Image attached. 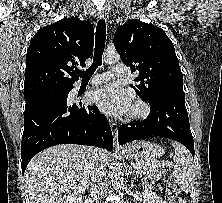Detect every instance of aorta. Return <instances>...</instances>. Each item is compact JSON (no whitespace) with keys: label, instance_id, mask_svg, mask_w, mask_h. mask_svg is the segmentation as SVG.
<instances>
[{"label":"aorta","instance_id":"aorta-1","mask_svg":"<svg viewBox=\"0 0 222 203\" xmlns=\"http://www.w3.org/2000/svg\"><path fill=\"white\" fill-rule=\"evenodd\" d=\"M103 60L107 64H115L120 60L117 52H106ZM111 182L116 191H119L124 186V177L121 167L117 163H113L111 168Z\"/></svg>","mask_w":222,"mask_h":203}]
</instances>
